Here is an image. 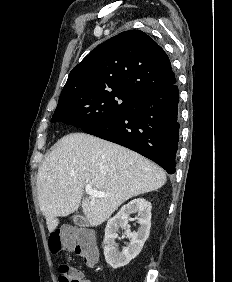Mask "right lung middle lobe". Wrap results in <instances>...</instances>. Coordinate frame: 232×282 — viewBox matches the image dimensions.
Listing matches in <instances>:
<instances>
[{
    "instance_id": "obj_1",
    "label": "right lung middle lobe",
    "mask_w": 232,
    "mask_h": 282,
    "mask_svg": "<svg viewBox=\"0 0 232 282\" xmlns=\"http://www.w3.org/2000/svg\"><path fill=\"white\" fill-rule=\"evenodd\" d=\"M140 97L127 90L81 94L59 101L51 122H63L83 130L132 110Z\"/></svg>"
}]
</instances>
